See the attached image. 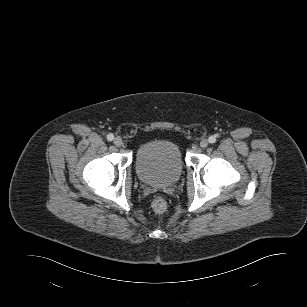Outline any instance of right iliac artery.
Wrapping results in <instances>:
<instances>
[{
	"label": "right iliac artery",
	"mask_w": 307,
	"mask_h": 307,
	"mask_svg": "<svg viewBox=\"0 0 307 307\" xmlns=\"http://www.w3.org/2000/svg\"><path fill=\"white\" fill-rule=\"evenodd\" d=\"M113 139H114V135L113 134L110 133V134L107 135V140L108 141H112Z\"/></svg>",
	"instance_id": "82829eb1"
}]
</instances>
